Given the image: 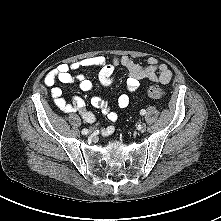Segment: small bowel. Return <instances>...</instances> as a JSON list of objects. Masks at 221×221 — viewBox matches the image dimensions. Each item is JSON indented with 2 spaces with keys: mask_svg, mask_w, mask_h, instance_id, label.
Segmentation results:
<instances>
[{
  "mask_svg": "<svg viewBox=\"0 0 221 221\" xmlns=\"http://www.w3.org/2000/svg\"><path fill=\"white\" fill-rule=\"evenodd\" d=\"M119 65L128 71L126 88L130 93L139 88V82L142 79L161 84H167L172 79V72L169 67L154 57H150L146 65L143 66L129 56H121L111 61H108L104 56H93L71 64H60L46 75L45 84L50 88L51 97L57 108L65 113H78L85 122L95 123L96 118L92 112L87 110L85 101L78 96L73 97L71 101H66L57 82L77 84L83 91H90L93 88L92 81L78 71L83 68L96 67L99 68L98 79L100 84L109 86L113 82L114 71ZM90 102L93 107L101 110L110 122H115L118 119V113L111 110L100 96L94 95ZM129 102L128 94H121L117 98V105L120 109L126 108ZM114 130L112 125L100 128L103 136H110Z\"/></svg>",
  "mask_w": 221,
  "mask_h": 221,
  "instance_id": "obj_1",
  "label": "small bowel"
}]
</instances>
